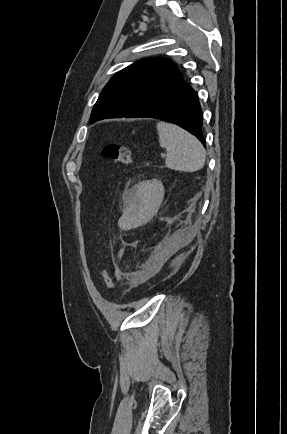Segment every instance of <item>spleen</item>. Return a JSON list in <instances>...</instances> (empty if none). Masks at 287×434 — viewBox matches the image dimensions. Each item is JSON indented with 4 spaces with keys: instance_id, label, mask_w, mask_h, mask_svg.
Instances as JSON below:
<instances>
[{
    "instance_id": "spleen-1",
    "label": "spleen",
    "mask_w": 287,
    "mask_h": 434,
    "mask_svg": "<svg viewBox=\"0 0 287 434\" xmlns=\"http://www.w3.org/2000/svg\"><path fill=\"white\" fill-rule=\"evenodd\" d=\"M157 131L160 146L167 150V168L194 172L204 166L206 152L196 137L181 127L166 122H158Z\"/></svg>"
}]
</instances>
